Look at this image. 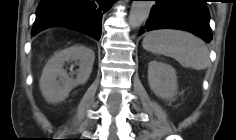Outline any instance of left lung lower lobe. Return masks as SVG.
<instances>
[{
	"instance_id": "left-lung-lower-lobe-1",
	"label": "left lung lower lobe",
	"mask_w": 236,
	"mask_h": 140,
	"mask_svg": "<svg viewBox=\"0 0 236 140\" xmlns=\"http://www.w3.org/2000/svg\"><path fill=\"white\" fill-rule=\"evenodd\" d=\"M189 31L205 42L212 40L209 11L205 0H155L146 25L139 35L155 29Z\"/></svg>"
}]
</instances>
